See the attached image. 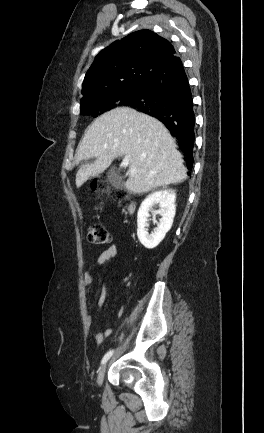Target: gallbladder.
Returning <instances> with one entry per match:
<instances>
[{
    "instance_id": "1",
    "label": "gallbladder",
    "mask_w": 264,
    "mask_h": 433,
    "mask_svg": "<svg viewBox=\"0 0 264 433\" xmlns=\"http://www.w3.org/2000/svg\"><path fill=\"white\" fill-rule=\"evenodd\" d=\"M108 181L117 189L124 186L122 179L119 177L116 168H111L107 174Z\"/></svg>"
}]
</instances>
